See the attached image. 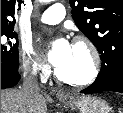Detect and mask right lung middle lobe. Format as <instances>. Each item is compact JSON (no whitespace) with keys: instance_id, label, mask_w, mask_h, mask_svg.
<instances>
[{"instance_id":"dd1d6c3e","label":"right lung middle lobe","mask_w":123,"mask_h":113,"mask_svg":"<svg viewBox=\"0 0 123 113\" xmlns=\"http://www.w3.org/2000/svg\"><path fill=\"white\" fill-rule=\"evenodd\" d=\"M14 39L16 43H14ZM19 67L18 37L14 28L1 29V70L16 72Z\"/></svg>"}]
</instances>
